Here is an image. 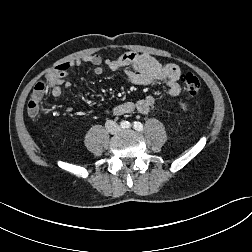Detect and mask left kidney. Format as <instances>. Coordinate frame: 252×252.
<instances>
[{
	"label": "left kidney",
	"instance_id": "5707ae66",
	"mask_svg": "<svg viewBox=\"0 0 252 252\" xmlns=\"http://www.w3.org/2000/svg\"><path fill=\"white\" fill-rule=\"evenodd\" d=\"M181 108L185 111L187 110V104L186 103H181L180 104Z\"/></svg>",
	"mask_w": 252,
	"mask_h": 252
}]
</instances>
